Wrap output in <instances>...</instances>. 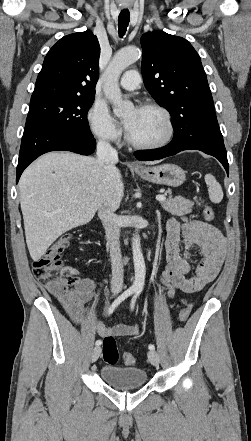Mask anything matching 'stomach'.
<instances>
[{"mask_svg":"<svg viewBox=\"0 0 251 441\" xmlns=\"http://www.w3.org/2000/svg\"><path fill=\"white\" fill-rule=\"evenodd\" d=\"M135 172L146 181L171 187H178L186 180L185 171L175 164L143 167Z\"/></svg>","mask_w":251,"mask_h":441,"instance_id":"1","label":"stomach"}]
</instances>
